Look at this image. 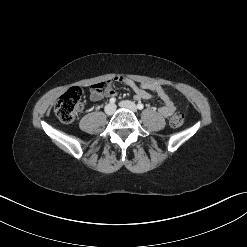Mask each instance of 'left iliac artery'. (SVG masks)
Listing matches in <instances>:
<instances>
[{"label": "left iliac artery", "mask_w": 247, "mask_h": 247, "mask_svg": "<svg viewBox=\"0 0 247 247\" xmlns=\"http://www.w3.org/2000/svg\"><path fill=\"white\" fill-rule=\"evenodd\" d=\"M137 108H138L139 110H142V109L144 108V105H143L142 103H138V104H137Z\"/></svg>", "instance_id": "1"}]
</instances>
